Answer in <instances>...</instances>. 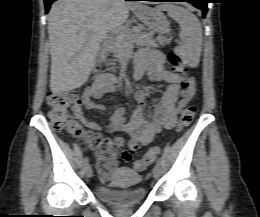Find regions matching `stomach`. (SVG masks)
Listing matches in <instances>:
<instances>
[{"mask_svg": "<svg viewBox=\"0 0 260 217\" xmlns=\"http://www.w3.org/2000/svg\"><path fill=\"white\" fill-rule=\"evenodd\" d=\"M135 14L149 29L161 34L170 31L169 23L160 7L139 6Z\"/></svg>", "mask_w": 260, "mask_h": 217, "instance_id": "stomach-1", "label": "stomach"}]
</instances>
